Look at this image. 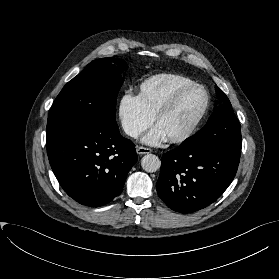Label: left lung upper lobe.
Returning a JSON list of instances; mask_svg holds the SVG:
<instances>
[{
  "label": "left lung upper lobe",
  "mask_w": 279,
  "mask_h": 279,
  "mask_svg": "<svg viewBox=\"0 0 279 279\" xmlns=\"http://www.w3.org/2000/svg\"><path fill=\"white\" fill-rule=\"evenodd\" d=\"M215 90L223 104L214 109L207 124L199 132L182 142L180 144L181 147L222 145L241 150L240 123L226 94L217 86H215Z\"/></svg>",
  "instance_id": "left-lung-upper-lobe-1"
}]
</instances>
